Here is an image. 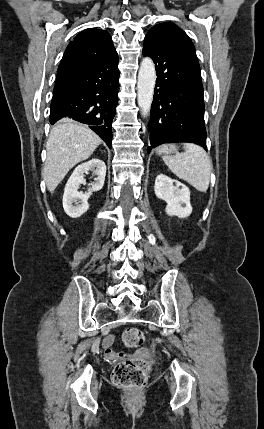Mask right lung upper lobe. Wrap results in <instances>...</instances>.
Masks as SVG:
<instances>
[{"instance_id": "obj_1", "label": "right lung upper lobe", "mask_w": 264, "mask_h": 429, "mask_svg": "<svg viewBox=\"0 0 264 429\" xmlns=\"http://www.w3.org/2000/svg\"><path fill=\"white\" fill-rule=\"evenodd\" d=\"M115 48L110 34L100 29H86L67 46L58 67L57 81L78 73L110 55Z\"/></svg>"}]
</instances>
